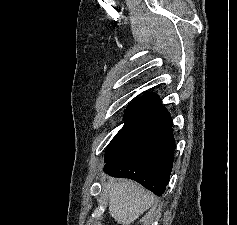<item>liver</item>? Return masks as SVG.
<instances>
[{
	"label": "liver",
	"instance_id": "6515ba94",
	"mask_svg": "<svg viewBox=\"0 0 237 225\" xmlns=\"http://www.w3.org/2000/svg\"><path fill=\"white\" fill-rule=\"evenodd\" d=\"M109 214L118 224L130 225L154 203V196L131 180L108 184Z\"/></svg>",
	"mask_w": 237,
	"mask_h": 225
}]
</instances>
